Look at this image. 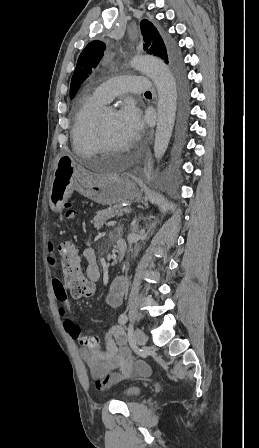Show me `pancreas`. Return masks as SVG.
Segmentation results:
<instances>
[{"label": "pancreas", "instance_id": "pancreas-1", "mask_svg": "<svg viewBox=\"0 0 259 448\" xmlns=\"http://www.w3.org/2000/svg\"><path fill=\"white\" fill-rule=\"evenodd\" d=\"M96 214L97 216L92 220V224H94L95 228H102L109 218L123 216L121 208H108V210H100V212H96Z\"/></svg>", "mask_w": 259, "mask_h": 448}]
</instances>
